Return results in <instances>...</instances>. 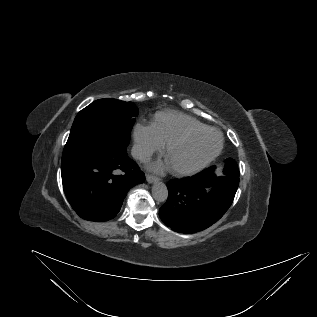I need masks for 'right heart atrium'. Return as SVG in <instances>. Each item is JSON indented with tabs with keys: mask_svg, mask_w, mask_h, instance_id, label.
Masks as SVG:
<instances>
[{
	"mask_svg": "<svg viewBox=\"0 0 317 317\" xmlns=\"http://www.w3.org/2000/svg\"><path fill=\"white\" fill-rule=\"evenodd\" d=\"M132 137L133 154L139 160H146L163 148L149 124L137 123L133 128Z\"/></svg>",
	"mask_w": 317,
	"mask_h": 317,
	"instance_id": "d8ad5b80",
	"label": "right heart atrium"
}]
</instances>
